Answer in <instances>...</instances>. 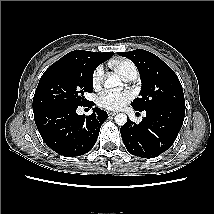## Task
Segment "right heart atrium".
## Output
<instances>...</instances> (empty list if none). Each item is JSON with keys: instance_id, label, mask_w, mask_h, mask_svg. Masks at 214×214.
Here are the masks:
<instances>
[{"instance_id": "right-heart-atrium-1", "label": "right heart atrium", "mask_w": 214, "mask_h": 214, "mask_svg": "<svg viewBox=\"0 0 214 214\" xmlns=\"http://www.w3.org/2000/svg\"><path fill=\"white\" fill-rule=\"evenodd\" d=\"M104 69L102 66H98L92 73V85L95 89L99 88L103 82Z\"/></svg>"}]
</instances>
